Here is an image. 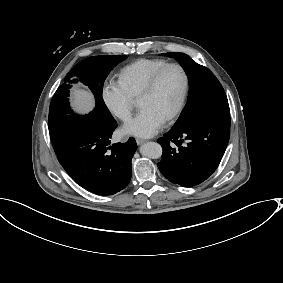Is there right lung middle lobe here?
<instances>
[{
  "mask_svg": "<svg viewBox=\"0 0 283 283\" xmlns=\"http://www.w3.org/2000/svg\"><path fill=\"white\" fill-rule=\"evenodd\" d=\"M127 56H93L80 61L65 77L54 94L48 118L51 141L56 154L63 152L75 138L76 129L89 118H108L111 113L102 98L103 84L110 71ZM87 85L96 99L95 109L86 116H78L70 109L68 96L72 83ZM71 114L73 117L66 116ZM67 117L73 118L67 121Z\"/></svg>",
  "mask_w": 283,
  "mask_h": 283,
  "instance_id": "dd1d6c3e",
  "label": "right lung middle lobe"
}]
</instances>
